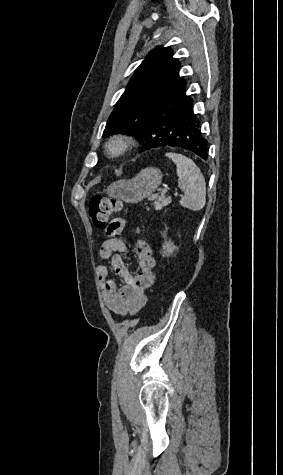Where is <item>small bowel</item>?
Wrapping results in <instances>:
<instances>
[{"instance_id": "c3829d8e", "label": "small bowel", "mask_w": 283, "mask_h": 475, "mask_svg": "<svg viewBox=\"0 0 283 475\" xmlns=\"http://www.w3.org/2000/svg\"><path fill=\"white\" fill-rule=\"evenodd\" d=\"M125 223L124 218H116L111 223L103 224L102 229L106 240L99 250L100 257L109 260L113 271L124 281V285L117 287L116 283L109 278L108 267L105 264H98L96 267V276L106 307L122 318L134 316L144 307L147 302L146 290L156 279L155 272L153 276H149L148 283L135 286V275L129 272L121 257V253L128 251L127 245L117 238Z\"/></svg>"}]
</instances>
